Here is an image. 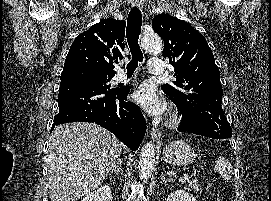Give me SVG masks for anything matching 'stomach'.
Wrapping results in <instances>:
<instances>
[{
	"instance_id": "0dacf381",
	"label": "stomach",
	"mask_w": 271,
	"mask_h": 201,
	"mask_svg": "<svg viewBox=\"0 0 271 201\" xmlns=\"http://www.w3.org/2000/svg\"><path fill=\"white\" fill-rule=\"evenodd\" d=\"M196 158L193 148L183 140L170 142L163 150V159L174 166H187Z\"/></svg>"
}]
</instances>
